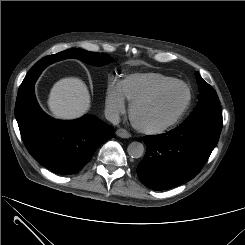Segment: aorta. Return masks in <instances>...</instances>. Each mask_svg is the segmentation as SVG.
<instances>
[{
    "label": "aorta",
    "mask_w": 245,
    "mask_h": 245,
    "mask_svg": "<svg viewBox=\"0 0 245 245\" xmlns=\"http://www.w3.org/2000/svg\"><path fill=\"white\" fill-rule=\"evenodd\" d=\"M127 152L132 158H140L144 153V146L140 142H132L128 145Z\"/></svg>",
    "instance_id": "1"
}]
</instances>
